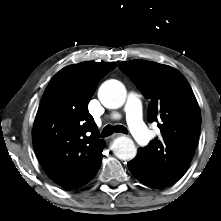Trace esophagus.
<instances>
[{"mask_svg": "<svg viewBox=\"0 0 221 221\" xmlns=\"http://www.w3.org/2000/svg\"><path fill=\"white\" fill-rule=\"evenodd\" d=\"M116 137H119V136H122V134L118 133V134H115Z\"/></svg>", "mask_w": 221, "mask_h": 221, "instance_id": "esophagus-1", "label": "esophagus"}]
</instances>
